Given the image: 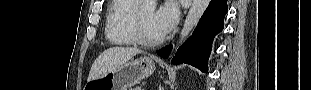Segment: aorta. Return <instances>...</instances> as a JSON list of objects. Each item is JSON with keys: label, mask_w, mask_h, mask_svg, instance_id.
Returning a JSON list of instances; mask_svg holds the SVG:
<instances>
[{"label": "aorta", "mask_w": 311, "mask_h": 90, "mask_svg": "<svg viewBox=\"0 0 311 90\" xmlns=\"http://www.w3.org/2000/svg\"><path fill=\"white\" fill-rule=\"evenodd\" d=\"M209 3L210 0H193L192 5L185 18L183 28L180 32L179 42L177 43L176 49L182 45V43L187 39L189 34L195 28L201 16L207 9ZM155 7H156L155 0H144L141 6L143 10H152V11L155 9Z\"/></svg>", "instance_id": "762f6f07"}]
</instances>
